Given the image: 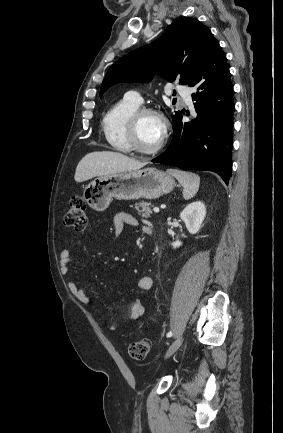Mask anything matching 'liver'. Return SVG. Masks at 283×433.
I'll use <instances>...</instances> for the list:
<instances>
[{
    "label": "liver",
    "instance_id": "1",
    "mask_svg": "<svg viewBox=\"0 0 283 433\" xmlns=\"http://www.w3.org/2000/svg\"><path fill=\"white\" fill-rule=\"evenodd\" d=\"M145 164L147 162H139L136 158L125 156L121 152H111V150L88 152L79 160L74 178L76 182H83V180H89L94 176H103V174H114V172H124V170H138Z\"/></svg>",
    "mask_w": 283,
    "mask_h": 433
}]
</instances>
